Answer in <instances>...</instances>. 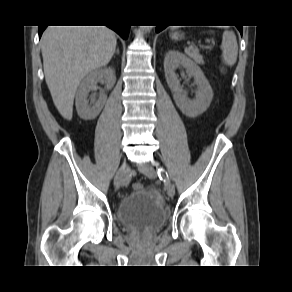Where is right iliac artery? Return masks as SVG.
<instances>
[{"label":"right iliac artery","mask_w":292,"mask_h":292,"mask_svg":"<svg viewBox=\"0 0 292 292\" xmlns=\"http://www.w3.org/2000/svg\"><path fill=\"white\" fill-rule=\"evenodd\" d=\"M126 182H132V179L127 178Z\"/></svg>","instance_id":"1"}]
</instances>
